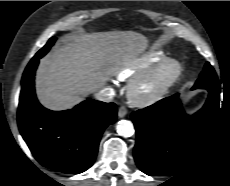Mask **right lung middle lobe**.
I'll list each match as a JSON object with an SVG mask.
<instances>
[{"instance_id":"right-lung-middle-lobe-1","label":"right lung middle lobe","mask_w":230,"mask_h":186,"mask_svg":"<svg viewBox=\"0 0 230 186\" xmlns=\"http://www.w3.org/2000/svg\"><path fill=\"white\" fill-rule=\"evenodd\" d=\"M55 40L56 37L50 38L47 44L41 50H39L33 58L40 59L41 57H43L49 51L51 46L54 44Z\"/></svg>"}]
</instances>
